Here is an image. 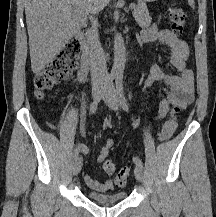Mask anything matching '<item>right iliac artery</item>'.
<instances>
[{
  "instance_id": "right-iliac-artery-1",
  "label": "right iliac artery",
  "mask_w": 216,
  "mask_h": 217,
  "mask_svg": "<svg viewBox=\"0 0 216 217\" xmlns=\"http://www.w3.org/2000/svg\"><path fill=\"white\" fill-rule=\"evenodd\" d=\"M115 76L114 75H111L109 77V80H108V83H112V81L114 80ZM98 102L99 100H94L91 105H90V112L91 114L95 113L96 109H97V106H98ZM79 154V150L78 148H75L74 151H73V158H76Z\"/></svg>"
}]
</instances>
